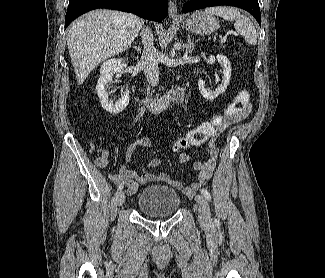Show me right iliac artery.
I'll return each mask as SVG.
<instances>
[{"label": "right iliac artery", "instance_id": "82829eb1", "mask_svg": "<svg viewBox=\"0 0 325 278\" xmlns=\"http://www.w3.org/2000/svg\"><path fill=\"white\" fill-rule=\"evenodd\" d=\"M123 189V185L122 184H119L118 185V190H122Z\"/></svg>", "mask_w": 325, "mask_h": 278}]
</instances>
